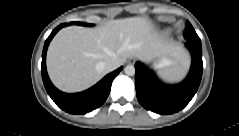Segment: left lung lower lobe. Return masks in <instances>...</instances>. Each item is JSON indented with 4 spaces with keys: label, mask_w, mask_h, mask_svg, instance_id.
<instances>
[{
    "label": "left lung lower lobe",
    "mask_w": 239,
    "mask_h": 136,
    "mask_svg": "<svg viewBox=\"0 0 239 136\" xmlns=\"http://www.w3.org/2000/svg\"><path fill=\"white\" fill-rule=\"evenodd\" d=\"M192 55L191 69L186 79L177 85H166L142 63L135 64L136 95L139 103L158 114H172L183 109L195 95L202 78L201 44L186 42Z\"/></svg>",
    "instance_id": "1"
}]
</instances>
